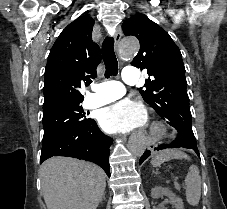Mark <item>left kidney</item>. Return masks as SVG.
Returning a JSON list of instances; mask_svg holds the SVG:
<instances>
[{
    "label": "left kidney",
    "instance_id": "obj_1",
    "mask_svg": "<svg viewBox=\"0 0 227 209\" xmlns=\"http://www.w3.org/2000/svg\"><path fill=\"white\" fill-rule=\"evenodd\" d=\"M162 195L168 197L171 205H174L173 209H183L184 205L182 199L176 197V195H174L172 191H169V189H164V187H155V189H151L152 199H159Z\"/></svg>",
    "mask_w": 227,
    "mask_h": 209
}]
</instances>
